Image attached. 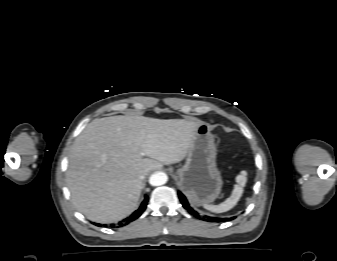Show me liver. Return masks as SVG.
<instances>
[{"label":"liver","instance_id":"1","mask_svg":"<svg viewBox=\"0 0 337 261\" xmlns=\"http://www.w3.org/2000/svg\"><path fill=\"white\" fill-rule=\"evenodd\" d=\"M200 124L122 115L90 122L71 147L66 172L76 209L98 223L127 217L141 195V171L182 161Z\"/></svg>","mask_w":337,"mask_h":261}]
</instances>
